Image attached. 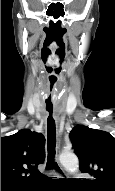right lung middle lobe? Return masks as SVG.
<instances>
[{
    "label": "right lung middle lobe",
    "instance_id": "dd1d6c3e",
    "mask_svg": "<svg viewBox=\"0 0 115 191\" xmlns=\"http://www.w3.org/2000/svg\"><path fill=\"white\" fill-rule=\"evenodd\" d=\"M18 189H13V188H7V187H1V191H16Z\"/></svg>",
    "mask_w": 115,
    "mask_h": 191
}]
</instances>
